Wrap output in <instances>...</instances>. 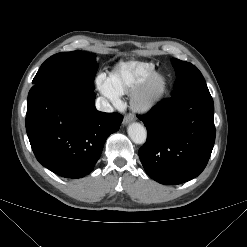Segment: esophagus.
<instances>
[{"label":"esophagus","mask_w":247,"mask_h":247,"mask_svg":"<svg viewBox=\"0 0 247 247\" xmlns=\"http://www.w3.org/2000/svg\"><path fill=\"white\" fill-rule=\"evenodd\" d=\"M135 118L133 115L129 114V115H126L123 119V124L126 125V124H129L130 122L134 121Z\"/></svg>","instance_id":"34e87169"}]
</instances>
